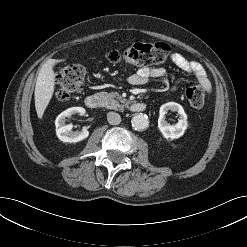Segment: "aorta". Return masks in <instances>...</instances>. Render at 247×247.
Returning a JSON list of instances; mask_svg holds the SVG:
<instances>
[{"mask_svg":"<svg viewBox=\"0 0 247 247\" xmlns=\"http://www.w3.org/2000/svg\"><path fill=\"white\" fill-rule=\"evenodd\" d=\"M132 127L135 130L141 131L148 127L149 121L145 114H135L131 120Z\"/></svg>","mask_w":247,"mask_h":247,"instance_id":"762f6f07","label":"aorta"}]
</instances>
